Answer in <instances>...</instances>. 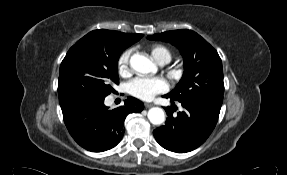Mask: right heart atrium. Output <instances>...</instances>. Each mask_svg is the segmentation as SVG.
Returning <instances> with one entry per match:
<instances>
[{
    "instance_id": "obj_1",
    "label": "right heart atrium",
    "mask_w": 287,
    "mask_h": 175,
    "mask_svg": "<svg viewBox=\"0 0 287 175\" xmlns=\"http://www.w3.org/2000/svg\"><path fill=\"white\" fill-rule=\"evenodd\" d=\"M132 50L128 49L122 52L117 60V69L120 75L126 76L130 72V57Z\"/></svg>"
}]
</instances>
